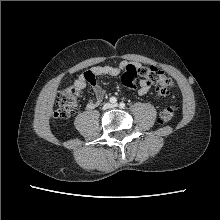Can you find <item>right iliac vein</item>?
I'll return each instance as SVG.
<instances>
[{"instance_id": "1", "label": "right iliac vein", "mask_w": 220, "mask_h": 220, "mask_svg": "<svg viewBox=\"0 0 220 220\" xmlns=\"http://www.w3.org/2000/svg\"><path fill=\"white\" fill-rule=\"evenodd\" d=\"M104 107L107 109L110 107V104L107 103Z\"/></svg>"}]
</instances>
